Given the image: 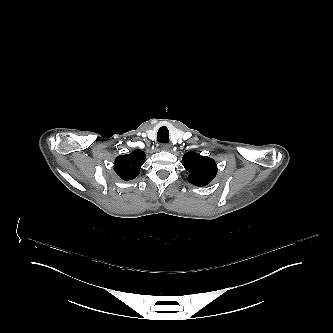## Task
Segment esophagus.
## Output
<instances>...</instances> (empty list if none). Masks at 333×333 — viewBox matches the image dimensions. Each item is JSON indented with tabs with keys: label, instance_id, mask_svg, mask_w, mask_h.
Masks as SVG:
<instances>
[{
	"label": "esophagus",
	"instance_id": "esophagus-1",
	"mask_svg": "<svg viewBox=\"0 0 333 333\" xmlns=\"http://www.w3.org/2000/svg\"><path fill=\"white\" fill-rule=\"evenodd\" d=\"M162 148H163L164 151L169 152L171 150V145L167 143V144H164Z\"/></svg>",
	"mask_w": 333,
	"mask_h": 333
}]
</instances>
